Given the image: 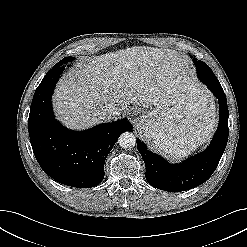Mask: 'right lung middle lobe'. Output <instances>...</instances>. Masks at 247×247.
<instances>
[{"instance_id": "1", "label": "right lung middle lobe", "mask_w": 247, "mask_h": 247, "mask_svg": "<svg viewBox=\"0 0 247 247\" xmlns=\"http://www.w3.org/2000/svg\"><path fill=\"white\" fill-rule=\"evenodd\" d=\"M72 60H73V57H65L61 61H59L55 66H61V65H63V63H67V62H70Z\"/></svg>"}]
</instances>
